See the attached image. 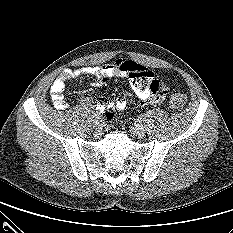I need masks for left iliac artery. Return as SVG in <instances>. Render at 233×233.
Segmentation results:
<instances>
[{"label": "left iliac artery", "mask_w": 233, "mask_h": 233, "mask_svg": "<svg viewBox=\"0 0 233 233\" xmlns=\"http://www.w3.org/2000/svg\"><path fill=\"white\" fill-rule=\"evenodd\" d=\"M143 119H144V118H143L142 115L138 117V120H139V121H143Z\"/></svg>", "instance_id": "obj_1"}]
</instances>
